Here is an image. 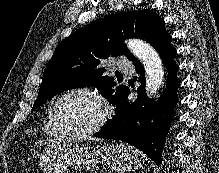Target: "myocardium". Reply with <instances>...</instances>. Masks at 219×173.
I'll return each instance as SVG.
<instances>
[{
  "mask_svg": "<svg viewBox=\"0 0 219 173\" xmlns=\"http://www.w3.org/2000/svg\"><path fill=\"white\" fill-rule=\"evenodd\" d=\"M73 94H87L92 97H94L103 107V113L101 117L98 119V121L92 125L91 127L80 130V131H72L66 129L62 123L60 122L59 115H58V108L60 103L68 96ZM52 121L55 127L65 136L72 137V138H82L89 135H92L99 130H101L110 120L112 116V107L109 104L106 97L102 94L100 90L94 87H88V86H79L75 88H71L67 91H65L63 94H61L53 103L52 105Z\"/></svg>",
  "mask_w": 219,
  "mask_h": 173,
  "instance_id": "myocardium-1",
  "label": "myocardium"
}]
</instances>
